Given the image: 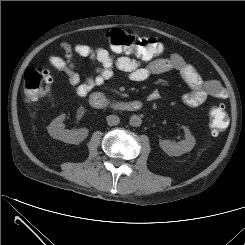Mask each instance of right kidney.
Segmentation results:
<instances>
[{
  "label": "right kidney",
  "mask_w": 245,
  "mask_h": 245,
  "mask_svg": "<svg viewBox=\"0 0 245 245\" xmlns=\"http://www.w3.org/2000/svg\"><path fill=\"white\" fill-rule=\"evenodd\" d=\"M64 119L65 114H62L49 124L48 133L50 136L68 144H79L82 142L88 135V129L83 128L74 131L67 130L63 123Z\"/></svg>",
  "instance_id": "right-kidney-1"
}]
</instances>
